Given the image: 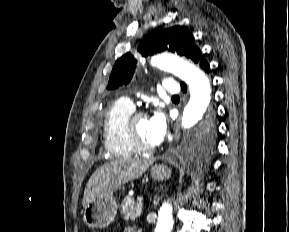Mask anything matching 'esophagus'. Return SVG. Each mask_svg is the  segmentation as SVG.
I'll return each instance as SVG.
<instances>
[{"mask_svg": "<svg viewBox=\"0 0 289 232\" xmlns=\"http://www.w3.org/2000/svg\"><path fill=\"white\" fill-rule=\"evenodd\" d=\"M175 141H178L179 139V134L177 133V130H178V127H177V124L175 125Z\"/></svg>", "mask_w": 289, "mask_h": 232, "instance_id": "obj_1", "label": "esophagus"}]
</instances>
